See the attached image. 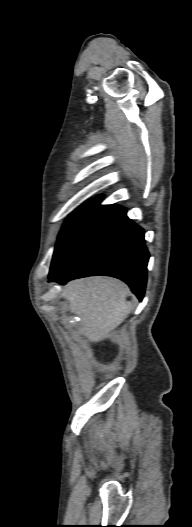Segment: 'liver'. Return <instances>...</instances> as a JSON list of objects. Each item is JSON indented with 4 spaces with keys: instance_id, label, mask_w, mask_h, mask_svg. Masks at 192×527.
<instances>
[{
    "instance_id": "liver-1",
    "label": "liver",
    "mask_w": 192,
    "mask_h": 527,
    "mask_svg": "<svg viewBox=\"0 0 192 527\" xmlns=\"http://www.w3.org/2000/svg\"><path fill=\"white\" fill-rule=\"evenodd\" d=\"M128 293L127 285L119 280L93 277L69 282L62 297L69 311L81 318L82 334L98 342L127 318L131 309Z\"/></svg>"
}]
</instances>
